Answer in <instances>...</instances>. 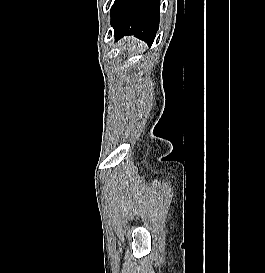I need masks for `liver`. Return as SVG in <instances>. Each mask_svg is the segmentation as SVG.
Returning a JSON list of instances; mask_svg holds the SVG:
<instances>
[{
  "instance_id": "1",
  "label": "liver",
  "mask_w": 265,
  "mask_h": 273,
  "mask_svg": "<svg viewBox=\"0 0 265 273\" xmlns=\"http://www.w3.org/2000/svg\"><path fill=\"white\" fill-rule=\"evenodd\" d=\"M128 41H129V44L127 49L129 52H132L133 50H135L136 46L140 47L144 45L143 43H139L136 39H133V38H129Z\"/></svg>"
}]
</instances>
